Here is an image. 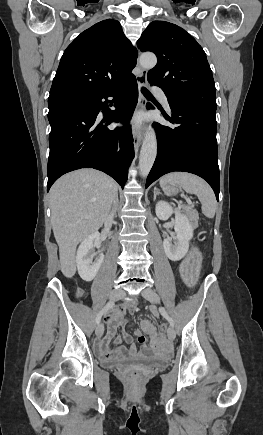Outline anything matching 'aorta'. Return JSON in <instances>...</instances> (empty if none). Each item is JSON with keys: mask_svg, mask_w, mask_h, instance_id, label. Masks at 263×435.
Masks as SVG:
<instances>
[{"mask_svg": "<svg viewBox=\"0 0 263 435\" xmlns=\"http://www.w3.org/2000/svg\"><path fill=\"white\" fill-rule=\"evenodd\" d=\"M140 64L145 69H152L157 63V58L152 53H145L140 56ZM157 155L156 134L152 126H148L143 140L139 157V170L143 177H146L155 161Z\"/></svg>", "mask_w": 263, "mask_h": 435, "instance_id": "aorta-1", "label": "aorta"}]
</instances>
